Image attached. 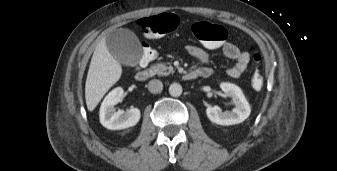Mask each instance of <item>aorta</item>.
Masks as SVG:
<instances>
[{"label": "aorta", "instance_id": "1", "mask_svg": "<svg viewBox=\"0 0 337 171\" xmlns=\"http://www.w3.org/2000/svg\"><path fill=\"white\" fill-rule=\"evenodd\" d=\"M182 86L179 83H172L169 86V94L172 97H179L182 94Z\"/></svg>", "mask_w": 337, "mask_h": 171}]
</instances>
